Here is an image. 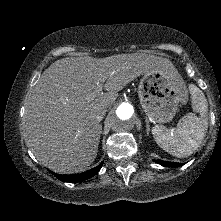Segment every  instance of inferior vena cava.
I'll use <instances>...</instances> for the list:
<instances>
[{
	"instance_id": "obj_1",
	"label": "inferior vena cava",
	"mask_w": 221,
	"mask_h": 221,
	"mask_svg": "<svg viewBox=\"0 0 221 221\" xmlns=\"http://www.w3.org/2000/svg\"><path fill=\"white\" fill-rule=\"evenodd\" d=\"M106 111V109H101L96 115V120L100 122L104 118Z\"/></svg>"
}]
</instances>
